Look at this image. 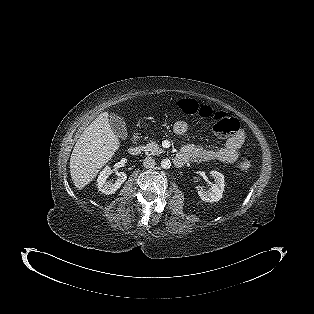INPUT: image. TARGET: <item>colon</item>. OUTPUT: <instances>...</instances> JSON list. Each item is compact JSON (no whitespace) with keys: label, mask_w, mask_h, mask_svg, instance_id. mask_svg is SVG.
<instances>
[{"label":"colon","mask_w":314,"mask_h":314,"mask_svg":"<svg viewBox=\"0 0 314 314\" xmlns=\"http://www.w3.org/2000/svg\"><path fill=\"white\" fill-rule=\"evenodd\" d=\"M180 110L186 116L198 114L204 119H210L213 124L214 132L219 136L232 135L239 130V122L236 118L228 116L223 111H214L208 106H200L192 99H182L179 103ZM252 167V159L249 155H244L239 163L238 168L242 172H248Z\"/></svg>","instance_id":"1"}]
</instances>
